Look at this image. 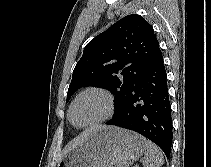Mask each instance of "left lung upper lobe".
Listing matches in <instances>:
<instances>
[{
  "instance_id": "left-lung-upper-lobe-1",
  "label": "left lung upper lobe",
  "mask_w": 211,
  "mask_h": 167,
  "mask_svg": "<svg viewBox=\"0 0 211 167\" xmlns=\"http://www.w3.org/2000/svg\"><path fill=\"white\" fill-rule=\"evenodd\" d=\"M158 50L153 28L144 18L136 14L122 18L84 48L73 71L66 102L83 86L102 87L114 93L117 114Z\"/></svg>"
}]
</instances>
